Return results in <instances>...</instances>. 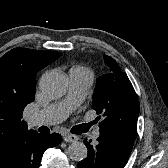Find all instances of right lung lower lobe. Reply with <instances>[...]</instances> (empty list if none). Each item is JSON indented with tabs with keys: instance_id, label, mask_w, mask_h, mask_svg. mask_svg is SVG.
I'll return each instance as SVG.
<instances>
[{
	"instance_id": "right-lung-lower-lobe-1",
	"label": "right lung lower lobe",
	"mask_w": 168,
	"mask_h": 168,
	"mask_svg": "<svg viewBox=\"0 0 168 168\" xmlns=\"http://www.w3.org/2000/svg\"><path fill=\"white\" fill-rule=\"evenodd\" d=\"M62 141L59 134L30 131L15 140L0 157V168H39L43 153Z\"/></svg>"
}]
</instances>
